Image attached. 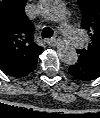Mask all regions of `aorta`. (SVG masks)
<instances>
[{"label":"aorta","instance_id":"762f6f07","mask_svg":"<svg viewBox=\"0 0 100 118\" xmlns=\"http://www.w3.org/2000/svg\"><path fill=\"white\" fill-rule=\"evenodd\" d=\"M40 11L43 16L54 21H59L65 16L64 7L60 0H41ZM57 53L60 60L67 65L77 62V52L68 42H61L57 47Z\"/></svg>","mask_w":100,"mask_h":118}]
</instances>
